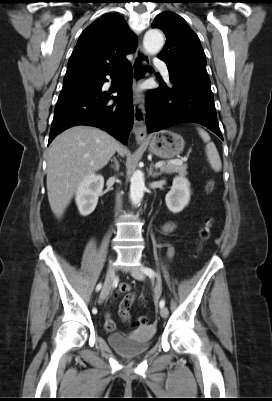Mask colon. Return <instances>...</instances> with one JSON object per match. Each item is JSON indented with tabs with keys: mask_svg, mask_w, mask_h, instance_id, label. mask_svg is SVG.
<instances>
[{
	"mask_svg": "<svg viewBox=\"0 0 272 401\" xmlns=\"http://www.w3.org/2000/svg\"><path fill=\"white\" fill-rule=\"evenodd\" d=\"M213 188L212 183H208L207 184V191H211ZM210 232H211V221L207 220L204 224V226L202 227V229L200 230V239L202 241H206L209 237H210ZM150 324V319L146 316H140L138 318H136L134 320V322L132 323V325L134 327H142V326H147Z\"/></svg>",
	"mask_w": 272,
	"mask_h": 401,
	"instance_id": "obj_1",
	"label": "colon"
}]
</instances>
